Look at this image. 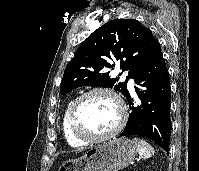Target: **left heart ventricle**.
Segmentation results:
<instances>
[{
    "instance_id": "1",
    "label": "left heart ventricle",
    "mask_w": 199,
    "mask_h": 171,
    "mask_svg": "<svg viewBox=\"0 0 199 171\" xmlns=\"http://www.w3.org/2000/svg\"><path fill=\"white\" fill-rule=\"evenodd\" d=\"M119 109L112 97L94 94L80 105L79 126L91 135H103L111 131L119 121Z\"/></svg>"
}]
</instances>
